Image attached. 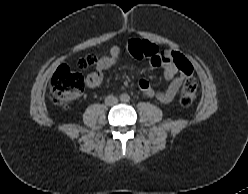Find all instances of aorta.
<instances>
[{"label":"aorta","mask_w":248,"mask_h":194,"mask_svg":"<svg viewBox=\"0 0 248 194\" xmlns=\"http://www.w3.org/2000/svg\"><path fill=\"white\" fill-rule=\"evenodd\" d=\"M120 100H121L122 102H128V101L130 100V96H129L128 94H122V95L120 96Z\"/></svg>","instance_id":"762f6f07"}]
</instances>
